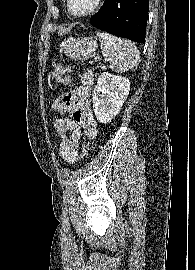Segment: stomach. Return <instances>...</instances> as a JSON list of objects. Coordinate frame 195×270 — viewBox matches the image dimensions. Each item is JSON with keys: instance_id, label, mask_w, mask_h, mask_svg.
Returning a JSON list of instances; mask_svg holds the SVG:
<instances>
[{"instance_id": "0dacf381", "label": "stomach", "mask_w": 195, "mask_h": 270, "mask_svg": "<svg viewBox=\"0 0 195 270\" xmlns=\"http://www.w3.org/2000/svg\"><path fill=\"white\" fill-rule=\"evenodd\" d=\"M97 49V42L92 37H70L60 44V53H64L71 59L87 60L94 56ZM55 73L63 74L64 70L60 65L55 67Z\"/></svg>"}]
</instances>
